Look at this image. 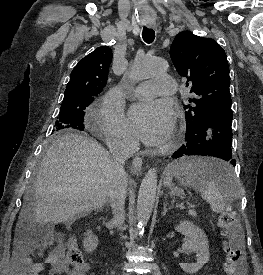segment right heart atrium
I'll return each mask as SVG.
<instances>
[{
    "instance_id": "d8ad5b80",
    "label": "right heart atrium",
    "mask_w": 263,
    "mask_h": 275,
    "mask_svg": "<svg viewBox=\"0 0 263 275\" xmlns=\"http://www.w3.org/2000/svg\"><path fill=\"white\" fill-rule=\"evenodd\" d=\"M97 131L110 143L131 147L135 139L128 129L121 110L115 105L110 95L100 102L96 114Z\"/></svg>"
}]
</instances>
